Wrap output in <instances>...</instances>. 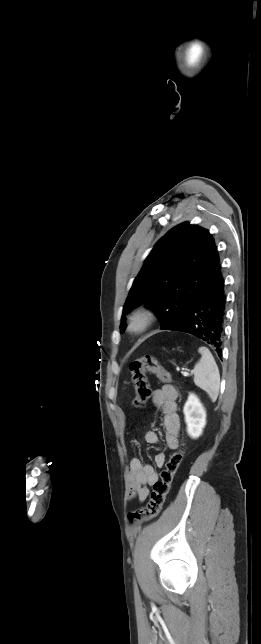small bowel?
Returning a JSON list of instances; mask_svg holds the SVG:
<instances>
[{
  "mask_svg": "<svg viewBox=\"0 0 261 644\" xmlns=\"http://www.w3.org/2000/svg\"><path fill=\"white\" fill-rule=\"evenodd\" d=\"M177 390L170 385L156 389L152 394V404L163 413V427L166 445L169 449H176L179 446L180 418L177 413ZM145 441L155 445L159 442V434L155 430L147 431ZM166 453L159 452L155 456L157 468L164 466ZM158 480V473L154 466L144 463L139 458H132L129 470V499L137 498L144 502L150 493L149 487Z\"/></svg>",
  "mask_w": 261,
  "mask_h": 644,
  "instance_id": "c3829d8e",
  "label": "small bowel"
}]
</instances>
